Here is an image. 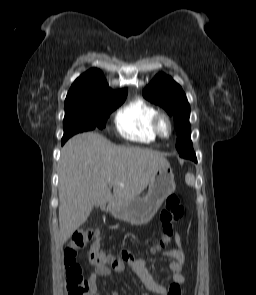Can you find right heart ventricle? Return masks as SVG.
<instances>
[{
  "mask_svg": "<svg viewBox=\"0 0 256 295\" xmlns=\"http://www.w3.org/2000/svg\"><path fill=\"white\" fill-rule=\"evenodd\" d=\"M157 110L142 98L134 99L125 105L115 116V125L119 133L133 141L154 142L157 134L154 120Z\"/></svg>",
  "mask_w": 256,
  "mask_h": 295,
  "instance_id": "e07e8e85",
  "label": "right heart ventricle"
}]
</instances>
